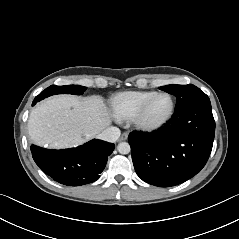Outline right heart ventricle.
<instances>
[{
    "label": "right heart ventricle",
    "instance_id": "obj_1",
    "mask_svg": "<svg viewBox=\"0 0 239 239\" xmlns=\"http://www.w3.org/2000/svg\"><path fill=\"white\" fill-rule=\"evenodd\" d=\"M154 93V91L119 92L110 99L111 111L117 119H131L140 105Z\"/></svg>",
    "mask_w": 239,
    "mask_h": 239
}]
</instances>
